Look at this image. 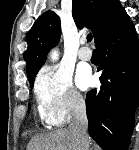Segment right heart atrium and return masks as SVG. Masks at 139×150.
Listing matches in <instances>:
<instances>
[{"instance_id": "d8ad5b80", "label": "right heart atrium", "mask_w": 139, "mask_h": 150, "mask_svg": "<svg viewBox=\"0 0 139 150\" xmlns=\"http://www.w3.org/2000/svg\"><path fill=\"white\" fill-rule=\"evenodd\" d=\"M35 95L40 114L50 126H62L85 109L71 73L63 68H44L36 79Z\"/></svg>"}]
</instances>
